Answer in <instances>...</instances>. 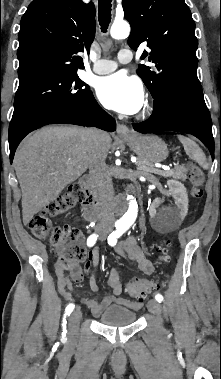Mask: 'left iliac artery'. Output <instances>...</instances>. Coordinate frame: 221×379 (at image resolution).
Returning <instances> with one entry per match:
<instances>
[{"label":"left iliac artery","mask_w":221,"mask_h":379,"mask_svg":"<svg viewBox=\"0 0 221 379\" xmlns=\"http://www.w3.org/2000/svg\"><path fill=\"white\" fill-rule=\"evenodd\" d=\"M126 231L124 227L117 226L116 230L112 232L108 237V244L110 246H115L117 243V239ZM155 299L161 303L163 301V296L160 293L155 295Z\"/></svg>","instance_id":"left-iliac-artery-1"}]
</instances>
